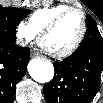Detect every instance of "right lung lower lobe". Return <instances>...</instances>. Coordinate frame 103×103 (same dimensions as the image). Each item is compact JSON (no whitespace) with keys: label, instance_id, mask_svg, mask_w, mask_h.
Wrapping results in <instances>:
<instances>
[{"label":"right lung lower lobe","instance_id":"obj_1","mask_svg":"<svg viewBox=\"0 0 103 103\" xmlns=\"http://www.w3.org/2000/svg\"><path fill=\"white\" fill-rule=\"evenodd\" d=\"M16 40L0 37V103H10L16 84L26 73L29 48L15 44Z\"/></svg>","mask_w":103,"mask_h":103}]
</instances>
